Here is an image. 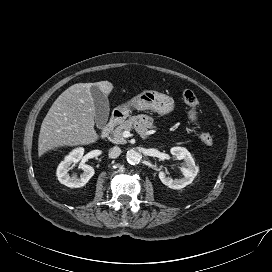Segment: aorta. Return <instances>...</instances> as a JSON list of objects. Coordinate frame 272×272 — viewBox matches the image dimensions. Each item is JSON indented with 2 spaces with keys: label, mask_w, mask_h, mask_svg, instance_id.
<instances>
[{
  "label": "aorta",
  "mask_w": 272,
  "mask_h": 272,
  "mask_svg": "<svg viewBox=\"0 0 272 272\" xmlns=\"http://www.w3.org/2000/svg\"><path fill=\"white\" fill-rule=\"evenodd\" d=\"M126 158L129 164L137 165L140 163L142 155L138 151L131 149L127 151Z\"/></svg>",
  "instance_id": "1"
}]
</instances>
